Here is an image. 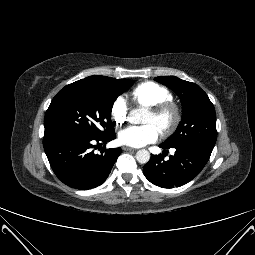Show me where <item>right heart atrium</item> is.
Returning a JSON list of instances; mask_svg holds the SVG:
<instances>
[{"mask_svg": "<svg viewBox=\"0 0 255 255\" xmlns=\"http://www.w3.org/2000/svg\"><path fill=\"white\" fill-rule=\"evenodd\" d=\"M112 120L119 126L125 124L128 120L129 109L124 98H116L110 108Z\"/></svg>", "mask_w": 255, "mask_h": 255, "instance_id": "right-heart-atrium-1", "label": "right heart atrium"}]
</instances>
